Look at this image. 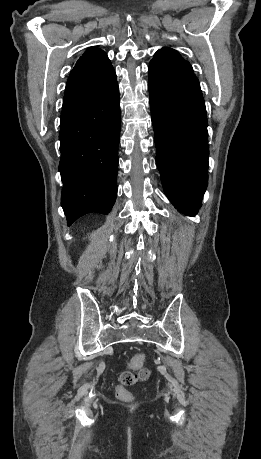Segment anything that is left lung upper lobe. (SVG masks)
Listing matches in <instances>:
<instances>
[{
    "mask_svg": "<svg viewBox=\"0 0 261 459\" xmlns=\"http://www.w3.org/2000/svg\"><path fill=\"white\" fill-rule=\"evenodd\" d=\"M150 63L193 73L190 63L184 60L177 51L170 48H163L157 51Z\"/></svg>",
    "mask_w": 261,
    "mask_h": 459,
    "instance_id": "5c2ea615",
    "label": "left lung upper lobe"
}]
</instances>
